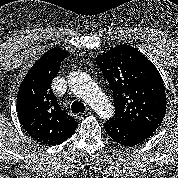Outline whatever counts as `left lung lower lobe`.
I'll return each mask as SVG.
<instances>
[{
	"instance_id": "1",
	"label": "left lung lower lobe",
	"mask_w": 178,
	"mask_h": 178,
	"mask_svg": "<svg viewBox=\"0 0 178 178\" xmlns=\"http://www.w3.org/2000/svg\"><path fill=\"white\" fill-rule=\"evenodd\" d=\"M107 134L117 143L134 147L147 140L158 127L148 124L110 119L103 124Z\"/></svg>"
}]
</instances>
